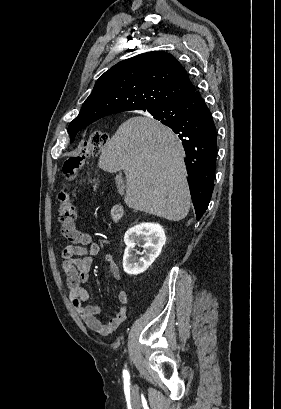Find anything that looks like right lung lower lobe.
<instances>
[{
	"label": "right lung lower lobe",
	"instance_id": "right-lung-lower-lobe-1",
	"mask_svg": "<svg viewBox=\"0 0 281 409\" xmlns=\"http://www.w3.org/2000/svg\"><path fill=\"white\" fill-rule=\"evenodd\" d=\"M154 118H172L166 126L179 138L186 153V169L197 220L211 199L217 156V130L198 91L177 103L149 111Z\"/></svg>",
	"mask_w": 281,
	"mask_h": 409
}]
</instances>
